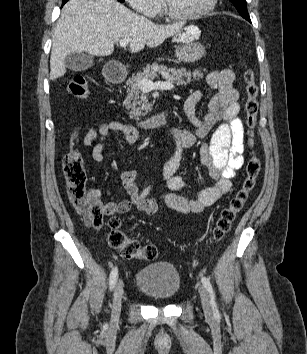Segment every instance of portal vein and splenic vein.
<instances>
[{
    "label": "portal vein and splenic vein",
    "instance_id": "18ae733b",
    "mask_svg": "<svg viewBox=\"0 0 307 354\" xmlns=\"http://www.w3.org/2000/svg\"><path fill=\"white\" fill-rule=\"evenodd\" d=\"M130 41L131 39H121L119 43L121 47L126 48ZM138 85L143 92L157 89L171 90L174 88V85L170 81L153 82L150 79H142L139 81Z\"/></svg>",
    "mask_w": 307,
    "mask_h": 354
}]
</instances>
